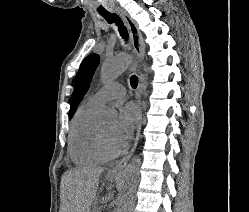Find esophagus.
Returning a JSON list of instances; mask_svg holds the SVG:
<instances>
[{
	"label": "esophagus",
	"instance_id": "1",
	"mask_svg": "<svg viewBox=\"0 0 249 212\" xmlns=\"http://www.w3.org/2000/svg\"><path fill=\"white\" fill-rule=\"evenodd\" d=\"M117 13L123 18L124 22L129 28L130 35H131V40H132V45L133 49L138 57L139 60H142L145 55V43L143 41V36L137 26V23L135 20H133L127 12H125L122 8L118 7L115 9ZM143 85V77L142 75L139 76V84L136 92V99L137 103L140 106V116H139V121L137 124V131H136V136L134 139L133 146L130 150V152L123 157L120 162L108 169V172H110L111 175H120L123 173L126 165L128 164L129 160L131 159L133 153L136 150L140 133H141V127H142V109H141V89Z\"/></svg>",
	"mask_w": 249,
	"mask_h": 212
}]
</instances>
